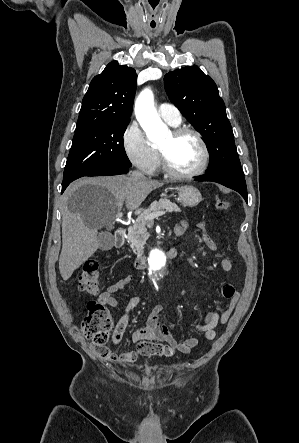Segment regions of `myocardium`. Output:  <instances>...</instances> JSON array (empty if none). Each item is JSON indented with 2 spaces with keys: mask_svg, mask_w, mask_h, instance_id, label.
<instances>
[{
  "mask_svg": "<svg viewBox=\"0 0 299 443\" xmlns=\"http://www.w3.org/2000/svg\"><path fill=\"white\" fill-rule=\"evenodd\" d=\"M184 134H192L196 138V140L200 145L202 157L199 165L194 170L190 172H179L173 169L172 166L169 164L166 152L158 148L159 162L162 170L168 176L174 179H190L200 176L206 170L209 163V158H210L209 149L201 133L195 128L186 127V126L177 127L171 131V135L173 138L180 137Z\"/></svg>",
  "mask_w": 299,
  "mask_h": 443,
  "instance_id": "1",
  "label": "myocardium"
}]
</instances>
